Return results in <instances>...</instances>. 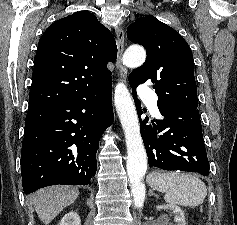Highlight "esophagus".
I'll return each mask as SVG.
<instances>
[{
    "label": "esophagus",
    "mask_w": 237,
    "mask_h": 225,
    "mask_svg": "<svg viewBox=\"0 0 237 225\" xmlns=\"http://www.w3.org/2000/svg\"><path fill=\"white\" fill-rule=\"evenodd\" d=\"M115 35H116V43H117V60H116V67L118 70V78L119 80H122L126 82L127 76H128V70L122 63V55L124 52V30L122 26H116L115 27Z\"/></svg>",
    "instance_id": "1"
}]
</instances>
